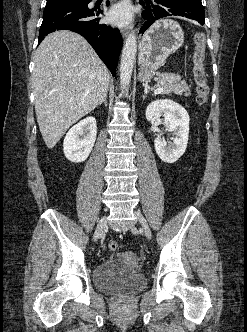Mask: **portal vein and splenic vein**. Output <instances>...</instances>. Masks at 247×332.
<instances>
[{"label": "portal vein and splenic vein", "instance_id": "portal-vein-and-splenic-vein-1", "mask_svg": "<svg viewBox=\"0 0 247 332\" xmlns=\"http://www.w3.org/2000/svg\"><path fill=\"white\" fill-rule=\"evenodd\" d=\"M163 90H164V88L159 87V88H157V89L154 91V93H155V94H159V93L163 92Z\"/></svg>", "mask_w": 247, "mask_h": 332}]
</instances>
